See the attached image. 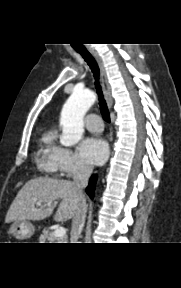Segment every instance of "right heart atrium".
Segmentation results:
<instances>
[{
	"label": "right heart atrium",
	"instance_id": "d8ad5b80",
	"mask_svg": "<svg viewBox=\"0 0 181 288\" xmlns=\"http://www.w3.org/2000/svg\"><path fill=\"white\" fill-rule=\"evenodd\" d=\"M54 172L63 177H72L89 172L90 167L73 150L55 146L52 152Z\"/></svg>",
	"mask_w": 181,
	"mask_h": 288
}]
</instances>
